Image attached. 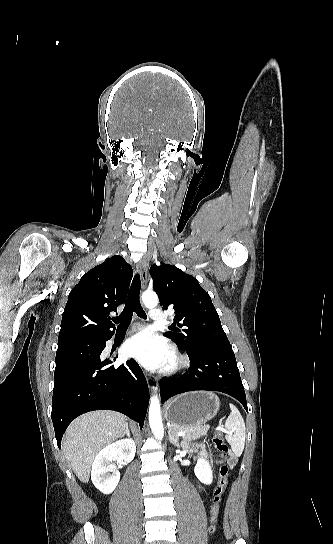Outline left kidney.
<instances>
[{
    "label": "left kidney",
    "mask_w": 333,
    "mask_h": 544,
    "mask_svg": "<svg viewBox=\"0 0 333 544\" xmlns=\"http://www.w3.org/2000/svg\"><path fill=\"white\" fill-rule=\"evenodd\" d=\"M196 477L204 484H211L213 480L212 469L208 461L199 458L194 468Z\"/></svg>",
    "instance_id": "1"
}]
</instances>
